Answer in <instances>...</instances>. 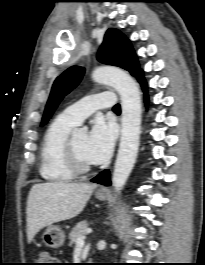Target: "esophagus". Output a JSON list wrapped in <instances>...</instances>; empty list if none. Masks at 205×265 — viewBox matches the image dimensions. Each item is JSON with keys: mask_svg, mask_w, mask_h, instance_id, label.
<instances>
[{"mask_svg": "<svg viewBox=\"0 0 205 265\" xmlns=\"http://www.w3.org/2000/svg\"><path fill=\"white\" fill-rule=\"evenodd\" d=\"M99 191H104V189L103 188H100Z\"/></svg>", "mask_w": 205, "mask_h": 265, "instance_id": "obj_1", "label": "esophagus"}]
</instances>
